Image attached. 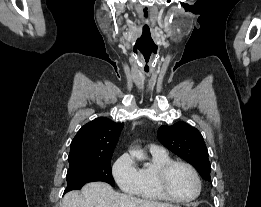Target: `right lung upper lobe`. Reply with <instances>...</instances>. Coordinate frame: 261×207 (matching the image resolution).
I'll return each mask as SVG.
<instances>
[{
    "instance_id": "cb5924a9",
    "label": "right lung upper lobe",
    "mask_w": 261,
    "mask_h": 207,
    "mask_svg": "<svg viewBox=\"0 0 261 207\" xmlns=\"http://www.w3.org/2000/svg\"><path fill=\"white\" fill-rule=\"evenodd\" d=\"M123 126L105 117L82 126L71 142L69 164L112 157Z\"/></svg>"
}]
</instances>
